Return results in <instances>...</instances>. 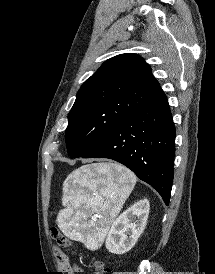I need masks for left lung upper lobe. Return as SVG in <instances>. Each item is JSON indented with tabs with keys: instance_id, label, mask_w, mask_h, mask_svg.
Listing matches in <instances>:
<instances>
[{
	"instance_id": "obj_1",
	"label": "left lung upper lobe",
	"mask_w": 215,
	"mask_h": 274,
	"mask_svg": "<svg viewBox=\"0 0 215 274\" xmlns=\"http://www.w3.org/2000/svg\"><path fill=\"white\" fill-rule=\"evenodd\" d=\"M163 93L140 56L126 53L104 62L81 86L68 114L70 157L85 155L121 121Z\"/></svg>"
}]
</instances>
